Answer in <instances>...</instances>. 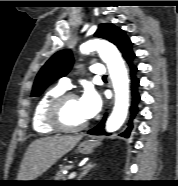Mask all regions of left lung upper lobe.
Segmentation results:
<instances>
[{
    "label": "left lung upper lobe",
    "instance_id": "1",
    "mask_svg": "<svg viewBox=\"0 0 178 186\" xmlns=\"http://www.w3.org/2000/svg\"><path fill=\"white\" fill-rule=\"evenodd\" d=\"M94 36L115 44L125 59L134 55L131 50L132 43L125 32L113 24L104 23L99 25ZM73 62L70 50L65 49L55 53L38 72L33 85L32 97L40 96L51 83L65 76L72 68Z\"/></svg>",
    "mask_w": 178,
    "mask_h": 186
}]
</instances>
